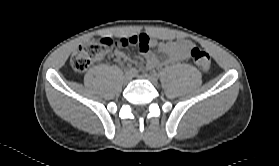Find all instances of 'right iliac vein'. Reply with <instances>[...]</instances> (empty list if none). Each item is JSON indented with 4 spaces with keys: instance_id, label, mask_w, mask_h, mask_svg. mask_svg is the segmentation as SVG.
Here are the masks:
<instances>
[{
    "instance_id": "right-iliac-vein-1",
    "label": "right iliac vein",
    "mask_w": 279,
    "mask_h": 166,
    "mask_svg": "<svg viewBox=\"0 0 279 166\" xmlns=\"http://www.w3.org/2000/svg\"><path fill=\"white\" fill-rule=\"evenodd\" d=\"M132 77H133L132 74L126 72L124 77H123V82L126 83V84L129 83L131 81Z\"/></svg>"
}]
</instances>
